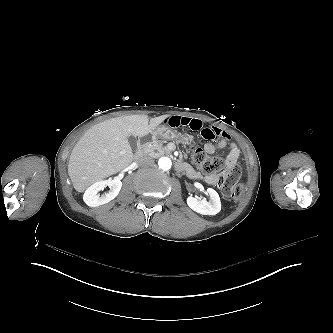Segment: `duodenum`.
<instances>
[{
  "label": "duodenum",
  "mask_w": 333,
  "mask_h": 333,
  "mask_svg": "<svg viewBox=\"0 0 333 333\" xmlns=\"http://www.w3.org/2000/svg\"><path fill=\"white\" fill-rule=\"evenodd\" d=\"M146 144H147V136H142L139 141L138 150L136 152L137 157L142 155V153L144 152V150L146 148ZM176 168L179 171L185 172L188 176H190L192 178H197V176H198L197 173L194 171V169L185 163H178L176 165Z\"/></svg>",
  "instance_id": "410a0bca"
}]
</instances>
